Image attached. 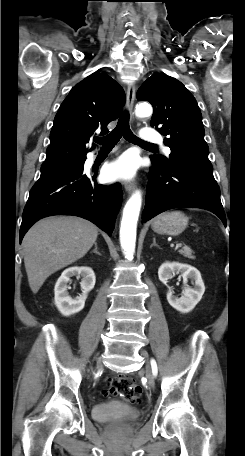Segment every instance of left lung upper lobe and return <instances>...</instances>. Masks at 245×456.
Wrapping results in <instances>:
<instances>
[{
    "label": "left lung upper lobe",
    "mask_w": 245,
    "mask_h": 456,
    "mask_svg": "<svg viewBox=\"0 0 245 456\" xmlns=\"http://www.w3.org/2000/svg\"><path fill=\"white\" fill-rule=\"evenodd\" d=\"M138 100L149 101L154 109L151 126L167 136L169 159L152 155L161 164L180 161L212 168L204 140L202 115L194 96L177 79L165 74L149 77L137 92Z\"/></svg>",
    "instance_id": "1"
}]
</instances>
